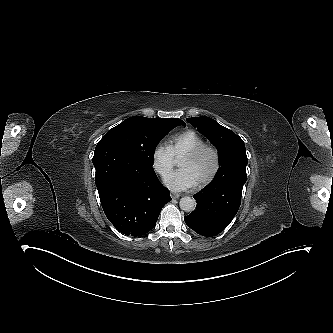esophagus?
I'll return each mask as SVG.
<instances>
[{
  "label": "esophagus",
  "mask_w": 333,
  "mask_h": 333,
  "mask_svg": "<svg viewBox=\"0 0 333 333\" xmlns=\"http://www.w3.org/2000/svg\"><path fill=\"white\" fill-rule=\"evenodd\" d=\"M179 197H180V195L178 193L171 192V198L172 199H178Z\"/></svg>",
  "instance_id": "34e87169"
}]
</instances>
